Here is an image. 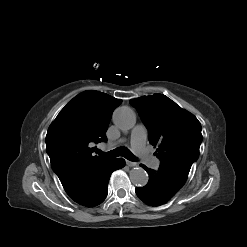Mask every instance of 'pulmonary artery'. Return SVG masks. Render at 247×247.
<instances>
[{
    "instance_id": "obj_1",
    "label": "pulmonary artery",
    "mask_w": 247,
    "mask_h": 247,
    "mask_svg": "<svg viewBox=\"0 0 247 247\" xmlns=\"http://www.w3.org/2000/svg\"><path fill=\"white\" fill-rule=\"evenodd\" d=\"M146 139H147L146 128L141 124L136 125L132 130V134H131L132 148L135 151V153L140 157H142L149 166L153 168H157L160 164V161L148 153L145 146Z\"/></svg>"
}]
</instances>
